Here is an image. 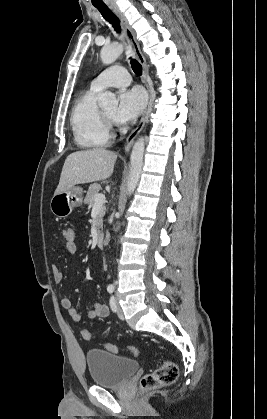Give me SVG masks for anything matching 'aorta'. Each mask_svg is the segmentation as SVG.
Returning a JSON list of instances; mask_svg holds the SVG:
<instances>
[{
  "label": "aorta",
  "instance_id": "aorta-1",
  "mask_svg": "<svg viewBox=\"0 0 267 419\" xmlns=\"http://www.w3.org/2000/svg\"><path fill=\"white\" fill-rule=\"evenodd\" d=\"M123 52V46L120 44H113L102 48L100 56L104 64L113 63ZM118 100L111 92H105L99 99V106L102 108L116 107ZM145 150L144 138L140 137L133 145L130 156V171L127 182V192L130 196L136 189L143 166V156Z\"/></svg>",
  "mask_w": 267,
  "mask_h": 419
}]
</instances>
